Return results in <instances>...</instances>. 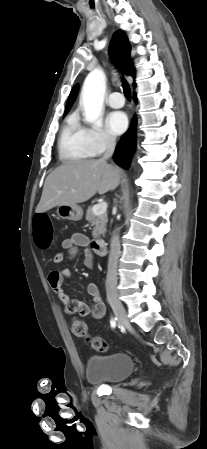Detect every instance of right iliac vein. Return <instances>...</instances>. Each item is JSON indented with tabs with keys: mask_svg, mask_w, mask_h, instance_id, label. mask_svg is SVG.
<instances>
[{
	"mask_svg": "<svg viewBox=\"0 0 207 449\" xmlns=\"http://www.w3.org/2000/svg\"><path fill=\"white\" fill-rule=\"evenodd\" d=\"M108 302L111 305L118 322L125 327H129L130 322L122 303L114 296H109Z\"/></svg>",
	"mask_w": 207,
	"mask_h": 449,
	"instance_id": "obj_1",
	"label": "right iliac vein"
}]
</instances>
